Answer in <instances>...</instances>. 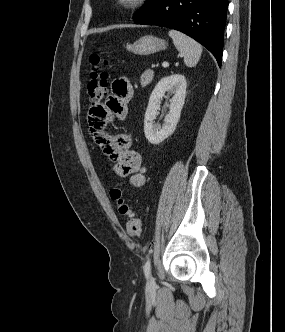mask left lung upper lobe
Returning a JSON list of instances; mask_svg holds the SVG:
<instances>
[{
  "mask_svg": "<svg viewBox=\"0 0 285 332\" xmlns=\"http://www.w3.org/2000/svg\"><path fill=\"white\" fill-rule=\"evenodd\" d=\"M160 2V0H147L145 5L133 16V20L142 17L143 15L150 12L155 6Z\"/></svg>",
  "mask_w": 285,
  "mask_h": 332,
  "instance_id": "left-lung-upper-lobe-1",
  "label": "left lung upper lobe"
}]
</instances>
